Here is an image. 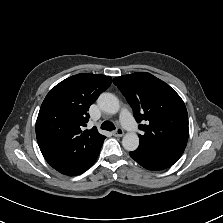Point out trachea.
<instances>
[{
	"label": "trachea",
	"mask_w": 223,
	"mask_h": 223,
	"mask_svg": "<svg viewBox=\"0 0 223 223\" xmlns=\"http://www.w3.org/2000/svg\"><path fill=\"white\" fill-rule=\"evenodd\" d=\"M101 129H104V130H107V131H112L115 129V126L112 122L110 121H104L102 124H101Z\"/></svg>",
	"instance_id": "trachea-1"
}]
</instances>
